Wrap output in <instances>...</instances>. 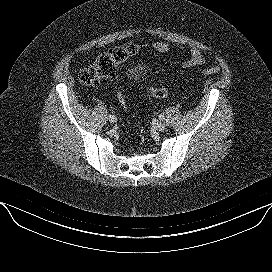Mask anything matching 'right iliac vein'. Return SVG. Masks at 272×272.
<instances>
[{
    "label": "right iliac vein",
    "instance_id": "63e3f726",
    "mask_svg": "<svg viewBox=\"0 0 272 272\" xmlns=\"http://www.w3.org/2000/svg\"><path fill=\"white\" fill-rule=\"evenodd\" d=\"M109 122L115 123L116 122V118L115 117H109Z\"/></svg>",
    "mask_w": 272,
    "mask_h": 272
}]
</instances>
